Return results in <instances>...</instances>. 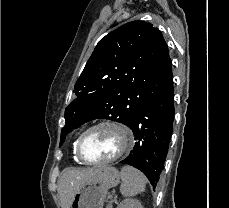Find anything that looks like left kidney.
Masks as SVG:
<instances>
[{
    "label": "left kidney",
    "instance_id": "1",
    "mask_svg": "<svg viewBox=\"0 0 229 208\" xmlns=\"http://www.w3.org/2000/svg\"><path fill=\"white\" fill-rule=\"evenodd\" d=\"M118 208H142L138 200H123Z\"/></svg>",
    "mask_w": 229,
    "mask_h": 208
}]
</instances>
